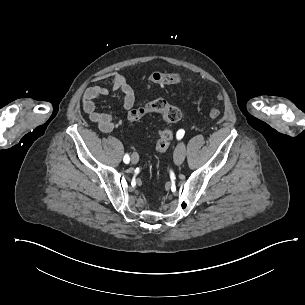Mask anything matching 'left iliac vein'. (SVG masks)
<instances>
[{"label":"left iliac vein","instance_id":"left-iliac-vein-1","mask_svg":"<svg viewBox=\"0 0 305 305\" xmlns=\"http://www.w3.org/2000/svg\"><path fill=\"white\" fill-rule=\"evenodd\" d=\"M186 147L183 142H179L174 151V162L177 165H181L185 159Z\"/></svg>","mask_w":305,"mask_h":305}]
</instances>
